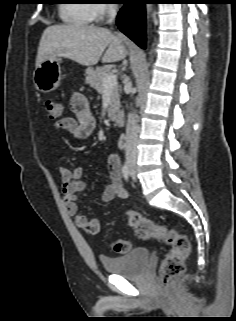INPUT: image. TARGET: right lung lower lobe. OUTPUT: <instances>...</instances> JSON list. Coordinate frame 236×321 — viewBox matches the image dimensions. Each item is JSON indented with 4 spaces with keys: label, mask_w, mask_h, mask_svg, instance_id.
<instances>
[{
    "label": "right lung lower lobe",
    "mask_w": 236,
    "mask_h": 321,
    "mask_svg": "<svg viewBox=\"0 0 236 321\" xmlns=\"http://www.w3.org/2000/svg\"><path fill=\"white\" fill-rule=\"evenodd\" d=\"M148 0H122L117 16L118 28L141 48L146 47L145 4Z\"/></svg>",
    "instance_id": "1"
}]
</instances>
